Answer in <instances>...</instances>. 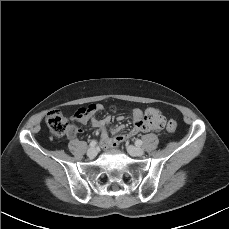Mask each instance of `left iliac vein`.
I'll return each mask as SVG.
<instances>
[{
  "mask_svg": "<svg viewBox=\"0 0 229 229\" xmlns=\"http://www.w3.org/2000/svg\"><path fill=\"white\" fill-rule=\"evenodd\" d=\"M127 151L131 156H143L144 150L140 147H136L133 145L127 146Z\"/></svg>",
  "mask_w": 229,
  "mask_h": 229,
  "instance_id": "4c4485c4",
  "label": "left iliac vein"
}]
</instances>
